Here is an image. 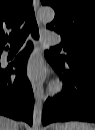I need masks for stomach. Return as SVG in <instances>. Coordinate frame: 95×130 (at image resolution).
Listing matches in <instances>:
<instances>
[{
	"instance_id": "obj_1",
	"label": "stomach",
	"mask_w": 95,
	"mask_h": 130,
	"mask_svg": "<svg viewBox=\"0 0 95 130\" xmlns=\"http://www.w3.org/2000/svg\"><path fill=\"white\" fill-rule=\"evenodd\" d=\"M52 130H63V129H62V125H61V124H54V125L52 126Z\"/></svg>"
}]
</instances>
